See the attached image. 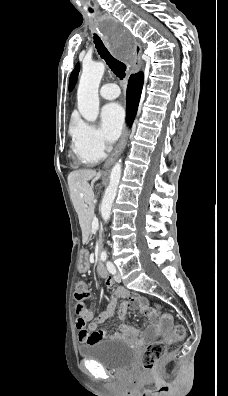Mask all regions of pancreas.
<instances>
[{
    "mask_svg": "<svg viewBox=\"0 0 228 396\" xmlns=\"http://www.w3.org/2000/svg\"><path fill=\"white\" fill-rule=\"evenodd\" d=\"M93 219H94V216H92V218H91V221H93ZM91 221H90V222H91ZM89 236H90V237L92 236V235H91V233H90V235H89ZM90 237L88 238L89 240H91V238H90ZM89 240L87 241L88 243L90 242Z\"/></svg>",
    "mask_w": 228,
    "mask_h": 396,
    "instance_id": "1",
    "label": "pancreas"
}]
</instances>
